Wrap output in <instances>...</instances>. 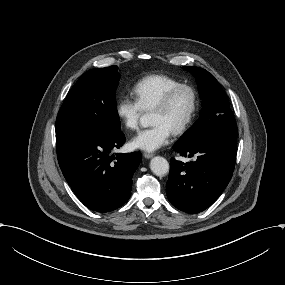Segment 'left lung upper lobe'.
I'll return each instance as SVG.
<instances>
[{
	"mask_svg": "<svg viewBox=\"0 0 285 285\" xmlns=\"http://www.w3.org/2000/svg\"><path fill=\"white\" fill-rule=\"evenodd\" d=\"M197 80L202 110L200 118L182 136L176 147L189 146L201 137L223 127L236 126L228 98L218 81L203 68L186 66Z\"/></svg>",
	"mask_w": 285,
	"mask_h": 285,
	"instance_id": "obj_1",
	"label": "left lung upper lobe"
}]
</instances>
